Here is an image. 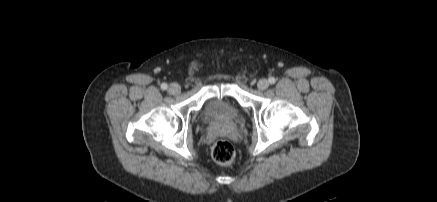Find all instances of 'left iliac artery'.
I'll list each match as a JSON object with an SVG mask.
<instances>
[{
	"label": "left iliac artery",
	"mask_w": 437,
	"mask_h": 202,
	"mask_svg": "<svg viewBox=\"0 0 437 202\" xmlns=\"http://www.w3.org/2000/svg\"><path fill=\"white\" fill-rule=\"evenodd\" d=\"M276 82V79L274 77L269 78V83L274 84Z\"/></svg>",
	"instance_id": "left-iliac-artery-1"
}]
</instances>
